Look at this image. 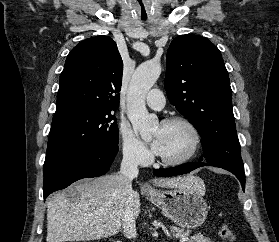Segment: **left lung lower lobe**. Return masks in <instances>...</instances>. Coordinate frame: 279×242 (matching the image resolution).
Listing matches in <instances>:
<instances>
[{"label": "left lung lower lobe", "mask_w": 279, "mask_h": 242, "mask_svg": "<svg viewBox=\"0 0 279 242\" xmlns=\"http://www.w3.org/2000/svg\"><path fill=\"white\" fill-rule=\"evenodd\" d=\"M206 165H212V166L220 167V168H223L225 170L230 171L240 181L243 191L245 190V174H244V171L236 170L232 167H229V166H227L225 164H221V163H213V164L186 163V164H182V165L172 167V168H168V169H155L154 174L158 177L176 176V175L189 173V172H191V171H193V170H195L199 167L206 166Z\"/></svg>", "instance_id": "left-lung-lower-lobe-1"}]
</instances>
